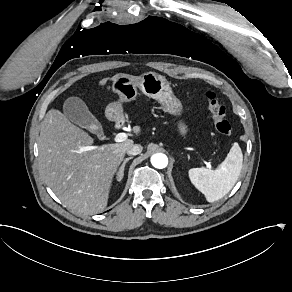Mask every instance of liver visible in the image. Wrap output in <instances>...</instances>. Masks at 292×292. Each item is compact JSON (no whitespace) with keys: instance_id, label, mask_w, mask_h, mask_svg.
<instances>
[{"instance_id":"1","label":"liver","mask_w":292,"mask_h":292,"mask_svg":"<svg viewBox=\"0 0 292 292\" xmlns=\"http://www.w3.org/2000/svg\"><path fill=\"white\" fill-rule=\"evenodd\" d=\"M105 83V79L100 81ZM133 132L138 134L140 127L134 126ZM92 144L93 138L59 110L51 109L45 115L38 142L41 173L66 207L91 215L107 206L113 175L133 140L89 148Z\"/></svg>"}]
</instances>
